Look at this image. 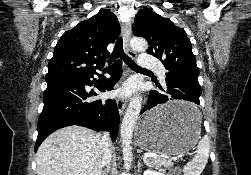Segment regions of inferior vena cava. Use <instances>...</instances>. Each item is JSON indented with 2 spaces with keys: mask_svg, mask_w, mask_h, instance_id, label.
I'll use <instances>...</instances> for the list:
<instances>
[{
  "mask_svg": "<svg viewBox=\"0 0 251 175\" xmlns=\"http://www.w3.org/2000/svg\"><path fill=\"white\" fill-rule=\"evenodd\" d=\"M102 145H103V155H102V165H110L111 161V139L109 133H104L102 135Z\"/></svg>",
  "mask_w": 251,
  "mask_h": 175,
  "instance_id": "1",
  "label": "inferior vena cava"
}]
</instances>
